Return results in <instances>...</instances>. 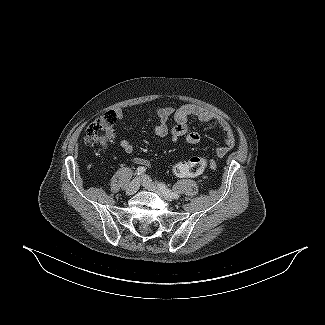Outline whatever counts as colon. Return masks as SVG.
Returning <instances> with one entry per match:
<instances>
[{
	"instance_id": "obj_1",
	"label": "colon",
	"mask_w": 325,
	"mask_h": 325,
	"mask_svg": "<svg viewBox=\"0 0 325 325\" xmlns=\"http://www.w3.org/2000/svg\"><path fill=\"white\" fill-rule=\"evenodd\" d=\"M116 117L114 113L107 112L98 117L88 127L84 141L92 145L96 143H107L114 138ZM207 166V161L201 157H194L187 161H181L173 165V174L178 177H190L202 173Z\"/></svg>"
}]
</instances>
